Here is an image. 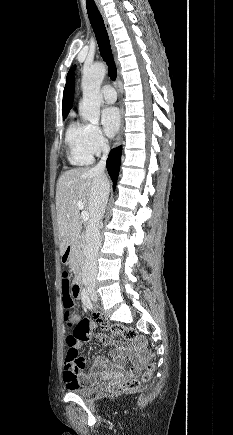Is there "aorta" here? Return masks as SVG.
<instances>
[{
    "instance_id": "obj_1",
    "label": "aorta",
    "mask_w": 233,
    "mask_h": 435,
    "mask_svg": "<svg viewBox=\"0 0 233 435\" xmlns=\"http://www.w3.org/2000/svg\"><path fill=\"white\" fill-rule=\"evenodd\" d=\"M106 74L105 65L94 64L83 70L82 91L83 99L79 113L85 121L98 124L100 119V106L103 101L100 87Z\"/></svg>"
}]
</instances>
